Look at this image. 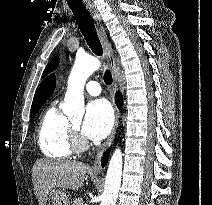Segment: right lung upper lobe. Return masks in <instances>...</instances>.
I'll return each mask as SVG.
<instances>
[{"mask_svg": "<svg viewBox=\"0 0 212 205\" xmlns=\"http://www.w3.org/2000/svg\"><path fill=\"white\" fill-rule=\"evenodd\" d=\"M54 88L55 76L51 75L46 80L42 81L41 84L38 86L34 96L32 107L43 105L53 93Z\"/></svg>", "mask_w": 212, "mask_h": 205, "instance_id": "obj_1", "label": "right lung upper lobe"}]
</instances>
